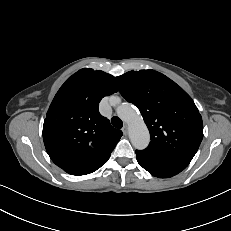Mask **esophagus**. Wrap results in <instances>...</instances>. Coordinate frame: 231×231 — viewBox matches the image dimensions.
Wrapping results in <instances>:
<instances>
[{"label":"esophagus","instance_id":"esophagus-1","mask_svg":"<svg viewBox=\"0 0 231 231\" xmlns=\"http://www.w3.org/2000/svg\"><path fill=\"white\" fill-rule=\"evenodd\" d=\"M122 132H123L124 135H127L128 127L126 125L122 128Z\"/></svg>","mask_w":231,"mask_h":231}]
</instances>
